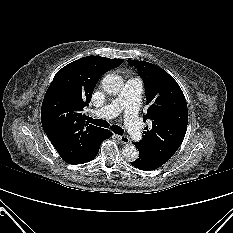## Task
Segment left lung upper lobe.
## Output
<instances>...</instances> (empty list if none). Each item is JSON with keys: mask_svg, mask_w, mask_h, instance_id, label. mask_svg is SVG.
<instances>
[{"mask_svg": "<svg viewBox=\"0 0 233 233\" xmlns=\"http://www.w3.org/2000/svg\"><path fill=\"white\" fill-rule=\"evenodd\" d=\"M142 77L148 109L144 121L152 127L144 131L140 142H133L147 156L166 163L180 147L187 130L188 110L178 83L164 69L138 60H128Z\"/></svg>", "mask_w": 233, "mask_h": 233, "instance_id": "5c2ea615", "label": "left lung upper lobe"}]
</instances>
